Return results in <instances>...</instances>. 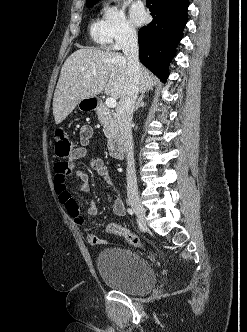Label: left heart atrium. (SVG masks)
<instances>
[{
  "mask_svg": "<svg viewBox=\"0 0 247 332\" xmlns=\"http://www.w3.org/2000/svg\"><path fill=\"white\" fill-rule=\"evenodd\" d=\"M130 17L135 24L141 25L145 22L147 14L144 7L140 3H135L130 9Z\"/></svg>",
  "mask_w": 247,
  "mask_h": 332,
  "instance_id": "39dd6f15",
  "label": "left heart atrium"
}]
</instances>
